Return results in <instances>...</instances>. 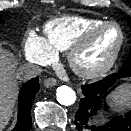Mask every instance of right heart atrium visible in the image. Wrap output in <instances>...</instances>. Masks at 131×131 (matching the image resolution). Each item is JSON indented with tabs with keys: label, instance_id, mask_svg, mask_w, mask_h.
I'll return each instance as SVG.
<instances>
[{
	"label": "right heart atrium",
	"instance_id": "obj_1",
	"mask_svg": "<svg viewBox=\"0 0 131 131\" xmlns=\"http://www.w3.org/2000/svg\"><path fill=\"white\" fill-rule=\"evenodd\" d=\"M23 53L28 61L37 64H48L56 58V53L45 39L33 32L29 33L24 41Z\"/></svg>",
	"mask_w": 131,
	"mask_h": 131
}]
</instances>
